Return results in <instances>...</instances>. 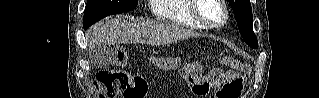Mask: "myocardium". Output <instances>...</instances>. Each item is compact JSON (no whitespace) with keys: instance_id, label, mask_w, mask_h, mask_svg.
Instances as JSON below:
<instances>
[{"instance_id":"1","label":"myocardium","mask_w":319,"mask_h":98,"mask_svg":"<svg viewBox=\"0 0 319 98\" xmlns=\"http://www.w3.org/2000/svg\"><path fill=\"white\" fill-rule=\"evenodd\" d=\"M200 1H202V0H191V3H192L191 4V13H192L194 19L198 23H200L203 27H205L207 29H212V30L220 29L227 24L228 19H229V11H228V8H227L225 1H223V0L217 1L216 0L224 10L223 21L219 24H211L200 14V12L198 10Z\"/></svg>"}]
</instances>
